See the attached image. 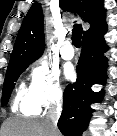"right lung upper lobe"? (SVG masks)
<instances>
[{"label":"right lung upper lobe","mask_w":117,"mask_h":136,"mask_svg":"<svg viewBox=\"0 0 117 136\" xmlns=\"http://www.w3.org/2000/svg\"><path fill=\"white\" fill-rule=\"evenodd\" d=\"M60 6L64 11L76 10L82 20L90 24V28L84 32L83 38L107 26L102 0H60ZM43 28L41 5L35 3L23 19L9 65L18 61L32 60L40 57L45 48Z\"/></svg>","instance_id":"right-lung-upper-lobe-1"}]
</instances>
